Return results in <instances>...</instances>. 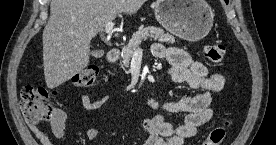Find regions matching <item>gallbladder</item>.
Instances as JSON below:
<instances>
[{"instance_id": "obj_1", "label": "gallbladder", "mask_w": 276, "mask_h": 145, "mask_svg": "<svg viewBox=\"0 0 276 145\" xmlns=\"http://www.w3.org/2000/svg\"><path fill=\"white\" fill-rule=\"evenodd\" d=\"M96 52H92V55L95 56Z\"/></svg>"}]
</instances>
